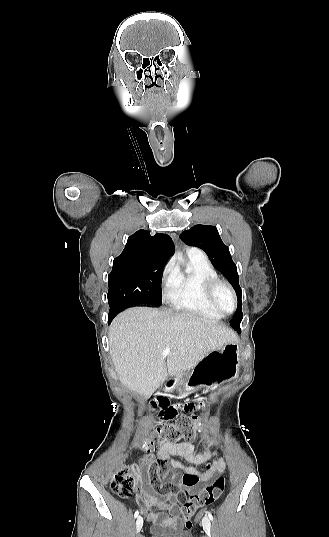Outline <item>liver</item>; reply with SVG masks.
<instances>
[{
    "mask_svg": "<svg viewBox=\"0 0 329 537\" xmlns=\"http://www.w3.org/2000/svg\"><path fill=\"white\" fill-rule=\"evenodd\" d=\"M108 336L120 382L145 399L168 375L194 368L210 352L238 340L233 330L215 320L148 307L120 313ZM167 347L170 353L165 362Z\"/></svg>",
    "mask_w": 329,
    "mask_h": 537,
    "instance_id": "obj_1",
    "label": "liver"
}]
</instances>
